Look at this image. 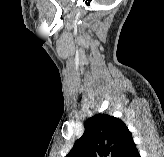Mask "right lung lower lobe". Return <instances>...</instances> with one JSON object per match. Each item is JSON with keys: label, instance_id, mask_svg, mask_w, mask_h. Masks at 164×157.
<instances>
[{"label": "right lung lower lobe", "instance_id": "right-lung-lower-lobe-1", "mask_svg": "<svg viewBox=\"0 0 164 157\" xmlns=\"http://www.w3.org/2000/svg\"><path fill=\"white\" fill-rule=\"evenodd\" d=\"M119 157H140L135 143L130 141Z\"/></svg>", "mask_w": 164, "mask_h": 157}]
</instances>
